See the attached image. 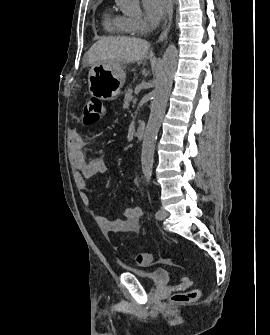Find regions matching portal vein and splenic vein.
Wrapping results in <instances>:
<instances>
[{"label":"portal vein and splenic vein","mask_w":270,"mask_h":335,"mask_svg":"<svg viewBox=\"0 0 270 335\" xmlns=\"http://www.w3.org/2000/svg\"><path fill=\"white\" fill-rule=\"evenodd\" d=\"M137 98L135 97L134 99H133V101H132V103L135 105L136 103H137Z\"/></svg>","instance_id":"portal-vein-and-splenic-vein-1"}]
</instances>
